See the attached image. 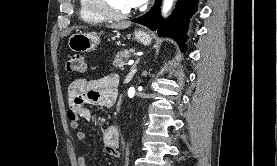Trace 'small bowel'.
<instances>
[{
  "label": "small bowel",
  "instance_id": "small-bowel-1",
  "mask_svg": "<svg viewBox=\"0 0 277 166\" xmlns=\"http://www.w3.org/2000/svg\"><path fill=\"white\" fill-rule=\"evenodd\" d=\"M118 76L109 74L95 80L83 78L72 81L68 88L69 109L68 118L70 127L76 130V139L84 142L87 135L80 130L81 120L93 119L91 107H110L117 98ZM103 144L105 152L115 158L120 157V134L115 125H107L103 129ZM79 166H96L90 162L86 155L78 156Z\"/></svg>",
  "mask_w": 277,
  "mask_h": 166
}]
</instances>
